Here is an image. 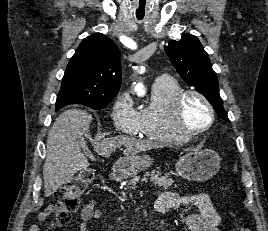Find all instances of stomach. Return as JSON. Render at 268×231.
<instances>
[{"label": "stomach", "instance_id": "stomach-1", "mask_svg": "<svg viewBox=\"0 0 268 231\" xmlns=\"http://www.w3.org/2000/svg\"><path fill=\"white\" fill-rule=\"evenodd\" d=\"M220 160L219 155L211 149L190 151L177 161L176 175L190 181H206L217 173ZM152 161L148 155H126L116 162V168L124 178H129L149 168Z\"/></svg>", "mask_w": 268, "mask_h": 231}]
</instances>
